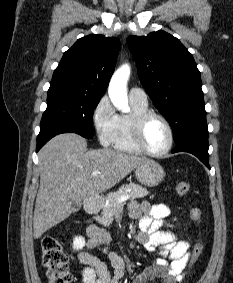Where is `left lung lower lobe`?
<instances>
[{
    "label": "left lung lower lobe",
    "instance_id": "left-lung-lower-lobe-1",
    "mask_svg": "<svg viewBox=\"0 0 233 283\" xmlns=\"http://www.w3.org/2000/svg\"><path fill=\"white\" fill-rule=\"evenodd\" d=\"M208 136L195 135L187 138L186 140L176 144V147L172 151L175 152H189L195 155L200 161H202L208 168L209 166V154H208Z\"/></svg>",
    "mask_w": 233,
    "mask_h": 283
}]
</instances>
